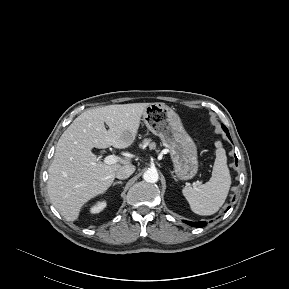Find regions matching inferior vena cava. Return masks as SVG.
Here are the masks:
<instances>
[{
  "mask_svg": "<svg viewBox=\"0 0 289 289\" xmlns=\"http://www.w3.org/2000/svg\"><path fill=\"white\" fill-rule=\"evenodd\" d=\"M135 171V166L134 165H124L121 166L117 172H116V177L118 179H126L128 177H130Z\"/></svg>",
  "mask_w": 289,
  "mask_h": 289,
  "instance_id": "602c4592",
  "label": "inferior vena cava"
}]
</instances>
